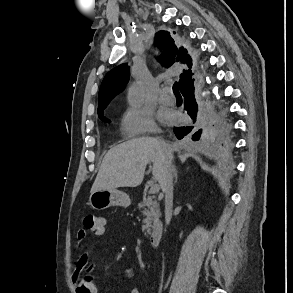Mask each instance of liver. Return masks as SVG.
Listing matches in <instances>:
<instances>
[{"label":"liver","mask_w":293,"mask_h":293,"mask_svg":"<svg viewBox=\"0 0 293 293\" xmlns=\"http://www.w3.org/2000/svg\"><path fill=\"white\" fill-rule=\"evenodd\" d=\"M166 151L155 138L143 137L124 142L111 148L103 158L101 167L91 188L114 191L119 187H137L144 178L148 163H153V177L160 183L163 180L169 156L173 149Z\"/></svg>","instance_id":"liver-1"}]
</instances>
